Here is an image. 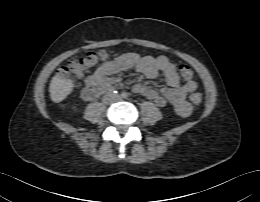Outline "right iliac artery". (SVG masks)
<instances>
[{"instance_id":"82829eb1","label":"right iliac artery","mask_w":260,"mask_h":202,"mask_svg":"<svg viewBox=\"0 0 260 202\" xmlns=\"http://www.w3.org/2000/svg\"><path fill=\"white\" fill-rule=\"evenodd\" d=\"M117 93H118V92H117L116 90H113V91L110 92V94L113 95V96H116Z\"/></svg>"}]
</instances>
